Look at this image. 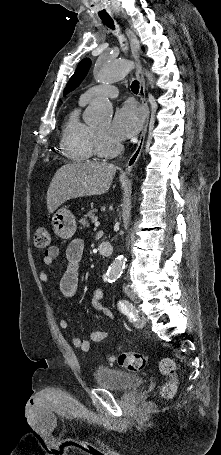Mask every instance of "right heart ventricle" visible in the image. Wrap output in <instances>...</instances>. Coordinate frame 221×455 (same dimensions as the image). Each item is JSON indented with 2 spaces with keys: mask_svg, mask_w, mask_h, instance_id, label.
<instances>
[{
  "mask_svg": "<svg viewBox=\"0 0 221 455\" xmlns=\"http://www.w3.org/2000/svg\"><path fill=\"white\" fill-rule=\"evenodd\" d=\"M85 104L80 98L78 107L67 115L61 133V150L67 158L75 162L90 160L95 155L93 127L80 118L81 107Z\"/></svg>",
  "mask_w": 221,
  "mask_h": 455,
  "instance_id": "right-heart-ventricle-1",
  "label": "right heart ventricle"
}]
</instances>
